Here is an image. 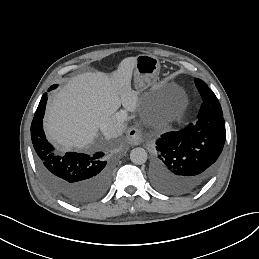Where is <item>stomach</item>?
I'll return each instance as SVG.
<instances>
[{"label": "stomach", "mask_w": 259, "mask_h": 259, "mask_svg": "<svg viewBox=\"0 0 259 259\" xmlns=\"http://www.w3.org/2000/svg\"><path fill=\"white\" fill-rule=\"evenodd\" d=\"M135 71L138 74L145 76H156L160 71V63L156 56L153 55H139L137 57V64Z\"/></svg>", "instance_id": "stomach-1"}]
</instances>
